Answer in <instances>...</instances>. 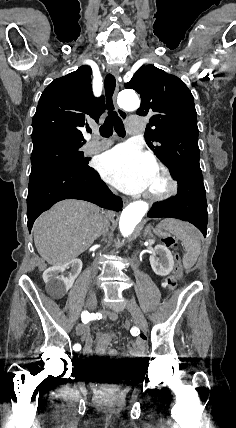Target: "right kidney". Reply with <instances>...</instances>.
<instances>
[{
	"mask_svg": "<svg viewBox=\"0 0 236 428\" xmlns=\"http://www.w3.org/2000/svg\"><path fill=\"white\" fill-rule=\"evenodd\" d=\"M70 268V270H66ZM82 270L81 260H71L63 266H53L43 272V280L45 283V292H53L54 300H65L66 292L72 288L77 276Z\"/></svg>",
	"mask_w": 236,
	"mask_h": 428,
	"instance_id": "right-kidney-1",
	"label": "right kidney"
}]
</instances>
